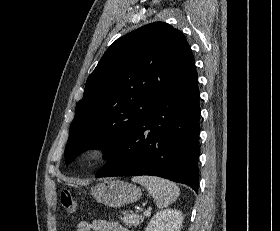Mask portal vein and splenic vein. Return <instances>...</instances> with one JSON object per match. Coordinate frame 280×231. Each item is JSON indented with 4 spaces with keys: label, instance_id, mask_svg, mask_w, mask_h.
Masks as SVG:
<instances>
[{
    "label": "portal vein and splenic vein",
    "instance_id": "1",
    "mask_svg": "<svg viewBox=\"0 0 280 231\" xmlns=\"http://www.w3.org/2000/svg\"><path fill=\"white\" fill-rule=\"evenodd\" d=\"M151 211L150 209H146V211H144V215H150Z\"/></svg>",
    "mask_w": 280,
    "mask_h": 231
}]
</instances>
